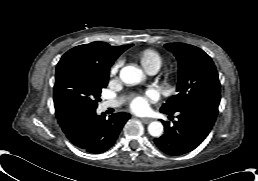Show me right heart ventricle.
<instances>
[{"label": "right heart ventricle", "instance_id": "e07e8e85", "mask_svg": "<svg viewBox=\"0 0 258 181\" xmlns=\"http://www.w3.org/2000/svg\"><path fill=\"white\" fill-rule=\"evenodd\" d=\"M138 60L143 68L150 72L152 70H159L163 64V56L155 49H144L138 54Z\"/></svg>", "mask_w": 258, "mask_h": 181}]
</instances>
